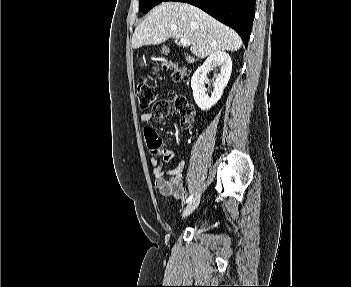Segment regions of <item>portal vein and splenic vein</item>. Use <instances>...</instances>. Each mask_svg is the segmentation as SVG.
<instances>
[{
    "label": "portal vein and splenic vein",
    "mask_w": 351,
    "mask_h": 287,
    "mask_svg": "<svg viewBox=\"0 0 351 287\" xmlns=\"http://www.w3.org/2000/svg\"><path fill=\"white\" fill-rule=\"evenodd\" d=\"M180 43H181L182 45H184V46H186V45H191L190 41H189L188 39H186V38H181V39H180Z\"/></svg>",
    "instance_id": "1"
}]
</instances>
